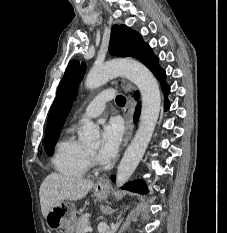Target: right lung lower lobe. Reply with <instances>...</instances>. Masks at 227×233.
Returning a JSON list of instances; mask_svg holds the SVG:
<instances>
[{
	"instance_id": "right-lung-lower-lobe-1",
	"label": "right lung lower lobe",
	"mask_w": 227,
	"mask_h": 233,
	"mask_svg": "<svg viewBox=\"0 0 227 233\" xmlns=\"http://www.w3.org/2000/svg\"><path fill=\"white\" fill-rule=\"evenodd\" d=\"M139 109H140V107H139ZM138 116H139V110H137V112H136V114H135V121L138 120Z\"/></svg>"
}]
</instances>
